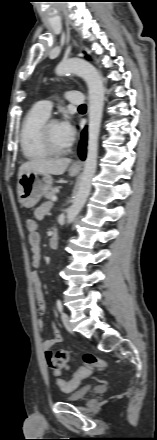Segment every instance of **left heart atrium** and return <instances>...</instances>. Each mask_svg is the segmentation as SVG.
Returning <instances> with one entry per match:
<instances>
[{
	"mask_svg": "<svg viewBox=\"0 0 157 440\" xmlns=\"http://www.w3.org/2000/svg\"><path fill=\"white\" fill-rule=\"evenodd\" d=\"M59 127H60L61 134L64 137V139L66 140V142L68 143V145L72 144L75 139L76 131H75V128L73 127L72 123L70 122V120L65 119V120L61 121L59 123Z\"/></svg>",
	"mask_w": 157,
	"mask_h": 440,
	"instance_id": "1",
	"label": "left heart atrium"
}]
</instances>
